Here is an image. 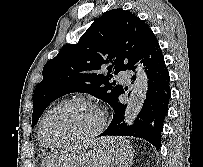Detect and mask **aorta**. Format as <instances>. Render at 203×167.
I'll return each instance as SVG.
<instances>
[{
    "label": "aorta",
    "instance_id": "1",
    "mask_svg": "<svg viewBox=\"0 0 203 167\" xmlns=\"http://www.w3.org/2000/svg\"><path fill=\"white\" fill-rule=\"evenodd\" d=\"M137 71L138 73L135 81V86L124 113V122L127 125L132 124L141 111L146 99V92L148 89V78L143 70V66L139 65Z\"/></svg>",
    "mask_w": 203,
    "mask_h": 167
}]
</instances>
